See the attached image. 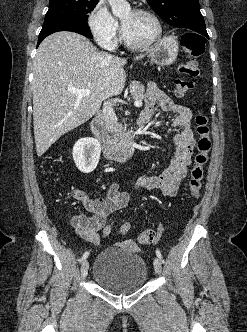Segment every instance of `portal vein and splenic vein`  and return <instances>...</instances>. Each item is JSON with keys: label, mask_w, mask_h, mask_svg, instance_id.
I'll return each instance as SVG.
<instances>
[{"label": "portal vein and splenic vein", "mask_w": 247, "mask_h": 332, "mask_svg": "<svg viewBox=\"0 0 247 332\" xmlns=\"http://www.w3.org/2000/svg\"><path fill=\"white\" fill-rule=\"evenodd\" d=\"M71 93L77 95V96H89L91 94V91L89 89H71L70 90ZM134 105L136 107H141L142 106V101L141 100H136L134 102Z\"/></svg>", "instance_id": "1"}]
</instances>
